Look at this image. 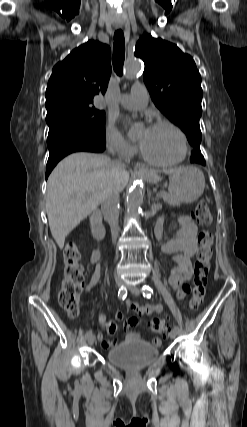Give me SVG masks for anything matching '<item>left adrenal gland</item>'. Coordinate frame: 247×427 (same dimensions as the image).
I'll return each mask as SVG.
<instances>
[{
  "mask_svg": "<svg viewBox=\"0 0 247 427\" xmlns=\"http://www.w3.org/2000/svg\"><path fill=\"white\" fill-rule=\"evenodd\" d=\"M148 200L150 201H153L154 203H156V201H157V198H151V192H149L148 193Z\"/></svg>",
  "mask_w": 247,
  "mask_h": 427,
  "instance_id": "a2214340",
  "label": "left adrenal gland"
}]
</instances>
